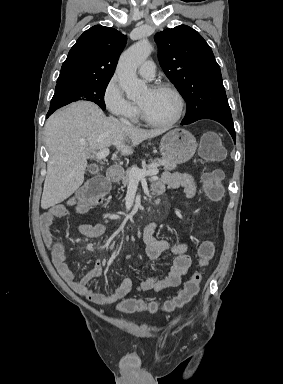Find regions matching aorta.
I'll return each mask as SVG.
<instances>
[{
    "mask_svg": "<svg viewBox=\"0 0 283 384\" xmlns=\"http://www.w3.org/2000/svg\"><path fill=\"white\" fill-rule=\"evenodd\" d=\"M153 50L148 40H140L127 49L120 57L117 74L119 83L129 99H136L143 95L146 90V84L136 76V70L142 64Z\"/></svg>",
    "mask_w": 283,
    "mask_h": 384,
    "instance_id": "762f6f07",
    "label": "aorta"
}]
</instances>
